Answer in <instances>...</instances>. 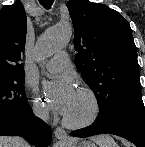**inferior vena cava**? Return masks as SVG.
<instances>
[{
    "label": "inferior vena cava",
    "mask_w": 145,
    "mask_h": 147,
    "mask_svg": "<svg viewBox=\"0 0 145 147\" xmlns=\"http://www.w3.org/2000/svg\"><path fill=\"white\" fill-rule=\"evenodd\" d=\"M36 114L42 118V119H46V112L45 111H37Z\"/></svg>",
    "instance_id": "obj_1"
}]
</instances>
